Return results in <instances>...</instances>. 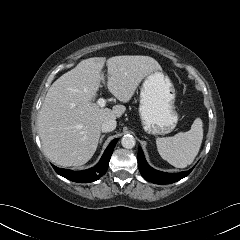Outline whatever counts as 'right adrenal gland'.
<instances>
[{"mask_svg": "<svg viewBox=\"0 0 240 240\" xmlns=\"http://www.w3.org/2000/svg\"><path fill=\"white\" fill-rule=\"evenodd\" d=\"M104 137H105V134H103V135L100 137V141H99L100 144L102 143V140H103Z\"/></svg>", "mask_w": 240, "mask_h": 240, "instance_id": "2a0ac1e0", "label": "right adrenal gland"}]
</instances>
